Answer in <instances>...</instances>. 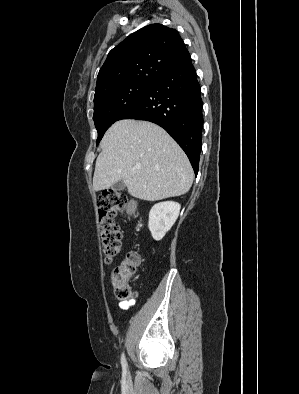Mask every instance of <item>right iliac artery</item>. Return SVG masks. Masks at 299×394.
<instances>
[{"label": "right iliac artery", "mask_w": 299, "mask_h": 394, "mask_svg": "<svg viewBox=\"0 0 299 394\" xmlns=\"http://www.w3.org/2000/svg\"><path fill=\"white\" fill-rule=\"evenodd\" d=\"M121 364H122L123 369L126 370L128 364L126 362V358H125L124 353H122V356H121Z\"/></svg>", "instance_id": "obj_1"}]
</instances>
